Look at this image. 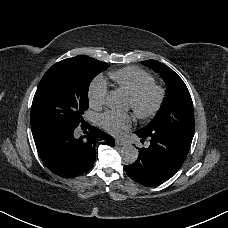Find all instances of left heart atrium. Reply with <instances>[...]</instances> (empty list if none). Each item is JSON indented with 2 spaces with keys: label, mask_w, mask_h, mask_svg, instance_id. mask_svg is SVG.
<instances>
[{
  "label": "left heart atrium",
  "mask_w": 228,
  "mask_h": 228,
  "mask_svg": "<svg viewBox=\"0 0 228 228\" xmlns=\"http://www.w3.org/2000/svg\"><path fill=\"white\" fill-rule=\"evenodd\" d=\"M100 119L104 128L113 134H119L132 127V119L129 114L107 112L101 115Z\"/></svg>",
  "instance_id": "1"
}]
</instances>
